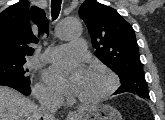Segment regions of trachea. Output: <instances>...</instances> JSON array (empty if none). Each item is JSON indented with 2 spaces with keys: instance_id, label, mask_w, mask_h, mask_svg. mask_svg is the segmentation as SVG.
<instances>
[{
  "instance_id": "1",
  "label": "trachea",
  "mask_w": 165,
  "mask_h": 120,
  "mask_svg": "<svg viewBox=\"0 0 165 120\" xmlns=\"http://www.w3.org/2000/svg\"><path fill=\"white\" fill-rule=\"evenodd\" d=\"M62 0H51V13L52 18L56 19L61 9Z\"/></svg>"
}]
</instances>
